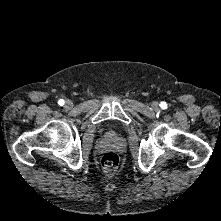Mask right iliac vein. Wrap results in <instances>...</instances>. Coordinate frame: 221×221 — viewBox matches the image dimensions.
<instances>
[{"instance_id":"obj_1","label":"right iliac vein","mask_w":221,"mask_h":221,"mask_svg":"<svg viewBox=\"0 0 221 221\" xmlns=\"http://www.w3.org/2000/svg\"><path fill=\"white\" fill-rule=\"evenodd\" d=\"M73 107V102L71 100H67L65 103L66 109H71Z\"/></svg>"}]
</instances>
